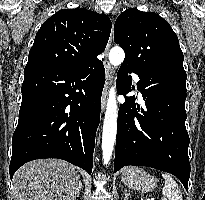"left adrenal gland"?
<instances>
[{
    "mask_svg": "<svg viewBox=\"0 0 205 200\" xmlns=\"http://www.w3.org/2000/svg\"><path fill=\"white\" fill-rule=\"evenodd\" d=\"M124 200H128V197L130 196V193L128 192L127 188L124 189Z\"/></svg>",
    "mask_w": 205,
    "mask_h": 200,
    "instance_id": "left-adrenal-gland-1",
    "label": "left adrenal gland"
}]
</instances>
